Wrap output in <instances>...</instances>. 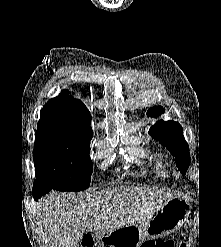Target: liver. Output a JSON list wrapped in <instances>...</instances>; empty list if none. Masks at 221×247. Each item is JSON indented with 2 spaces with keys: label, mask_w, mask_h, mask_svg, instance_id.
<instances>
[{
  "label": "liver",
  "mask_w": 221,
  "mask_h": 247,
  "mask_svg": "<svg viewBox=\"0 0 221 247\" xmlns=\"http://www.w3.org/2000/svg\"><path fill=\"white\" fill-rule=\"evenodd\" d=\"M171 193L146 187H115L84 196L51 192L36 204L50 247H79L85 230L109 232L151 220Z\"/></svg>",
  "instance_id": "6515ba94"
}]
</instances>
